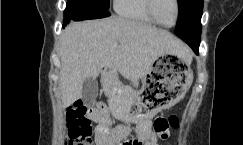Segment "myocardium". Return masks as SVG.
<instances>
[{"label":"myocardium","instance_id":"obj_1","mask_svg":"<svg viewBox=\"0 0 243 145\" xmlns=\"http://www.w3.org/2000/svg\"><path fill=\"white\" fill-rule=\"evenodd\" d=\"M173 1H174V5H175V18L171 24L167 25V24H163L162 22H160L158 20V18L156 17L155 10H154L155 0H147V11H148L151 19L156 24L166 27V28H170V27H173L177 23L178 18H179V11H180L179 1L178 0H173Z\"/></svg>","mask_w":243,"mask_h":145}]
</instances>
